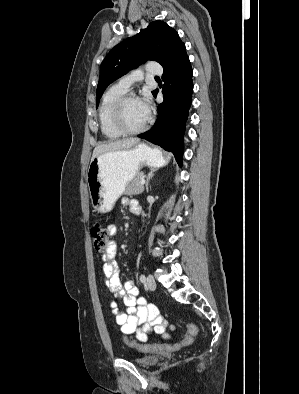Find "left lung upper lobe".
I'll list each match as a JSON object with an SVG mask.
<instances>
[{
    "label": "left lung upper lobe",
    "instance_id": "5c2ea615",
    "mask_svg": "<svg viewBox=\"0 0 299 394\" xmlns=\"http://www.w3.org/2000/svg\"><path fill=\"white\" fill-rule=\"evenodd\" d=\"M185 45L178 33L162 21H153L137 35L116 45L100 67L96 107L109 84L147 60L169 65ZM154 93V91L152 92Z\"/></svg>",
    "mask_w": 299,
    "mask_h": 394
}]
</instances>
